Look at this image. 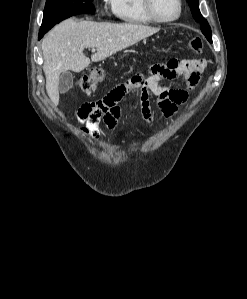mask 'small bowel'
Wrapping results in <instances>:
<instances>
[{"mask_svg":"<svg viewBox=\"0 0 247 299\" xmlns=\"http://www.w3.org/2000/svg\"><path fill=\"white\" fill-rule=\"evenodd\" d=\"M205 67L203 59L171 60L166 64L152 66L147 75L137 74L127 81L117 85L104 98L94 102L81 104L76 111V120L80 130L88 137L99 141L102 132L100 121L115 132L121 118L119 103L128 96L137 94L142 117L146 123L154 120L151 97H156L155 104L161 113L172 118L178 107L188 100V91L165 84L177 77L186 79L187 88L194 89Z\"/></svg>","mask_w":247,"mask_h":299,"instance_id":"c3829d8e","label":"small bowel"}]
</instances>
